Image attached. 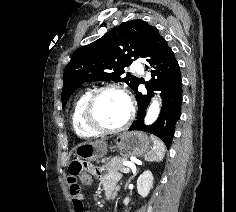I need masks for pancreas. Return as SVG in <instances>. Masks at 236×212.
<instances>
[{
	"label": "pancreas",
	"mask_w": 236,
	"mask_h": 212,
	"mask_svg": "<svg viewBox=\"0 0 236 212\" xmlns=\"http://www.w3.org/2000/svg\"><path fill=\"white\" fill-rule=\"evenodd\" d=\"M109 159H107L108 161ZM126 160V157H113L111 158L107 165H106V169L107 170H122L124 168L123 166V162ZM103 162H105V160H103Z\"/></svg>",
	"instance_id": "obj_1"
}]
</instances>
